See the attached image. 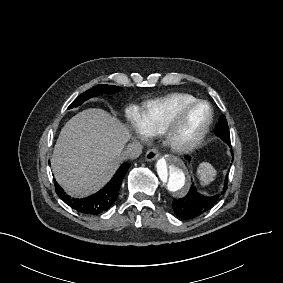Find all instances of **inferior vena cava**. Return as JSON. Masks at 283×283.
I'll use <instances>...</instances> for the list:
<instances>
[{"mask_svg": "<svg viewBox=\"0 0 283 283\" xmlns=\"http://www.w3.org/2000/svg\"><path fill=\"white\" fill-rule=\"evenodd\" d=\"M141 153H142V145L140 144V142L135 141V142L129 143L124 148L120 157L122 160L135 159V158H138Z\"/></svg>", "mask_w": 283, "mask_h": 283, "instance_id": "obj_1", "label": "inferior vena cava"}]
</instances>
